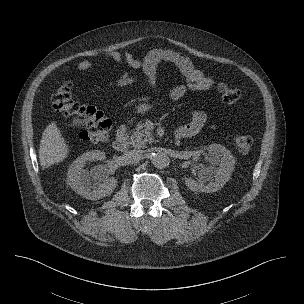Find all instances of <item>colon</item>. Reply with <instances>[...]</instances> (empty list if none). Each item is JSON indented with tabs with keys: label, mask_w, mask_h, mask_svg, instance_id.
<instances>
[{
	"label": "colon",
	"mask_w": 304,
	"mask_h": 304,
	"mask_svg": "<svg viewBox=\"0 0 304 304\" xmlns=\"http://www.w3.org/2000/svg\"><path fill=\"white\" fill-rule=\"evenodd\" d=\"M72 84L65 81L58 85L52 94L53 109L68 118H78L82 129L80 139L88 142H103L107 140L112 127L111 120L102 111L92 106H84L74 101L71 94ZM222 102L234 106L240 99V91L231 83L223 82L218 85ZM236 149L241 153L250 151L253 140L249 135L237 134L233 138Z\"/></svg>",
	"instance_id": "obj_1"
}]
</instances>
